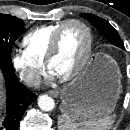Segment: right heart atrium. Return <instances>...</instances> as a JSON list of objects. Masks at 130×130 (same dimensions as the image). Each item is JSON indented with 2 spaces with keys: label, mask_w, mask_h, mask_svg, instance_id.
I'll use <instances>...</instances> for the list:
<instances>
[{
  "label": "right heart atrium",
  "mask_w": 130,
  "mask_h": 130,
  "mask_svg": "<svg viewBox=\"0 0 130 130\" xmlns=\"http://www.w3.org/2000/svg\"><path fill=\"white\" fill-rule=\"evenodd\" d=\"M11 62L20 79L31 87L37 86L45 73V65L35 60L26 50L12 53Z\"/></svg>",
  "instance_id": "right-heart-atrium-1"
}]
</instances>
